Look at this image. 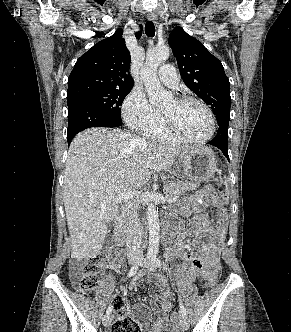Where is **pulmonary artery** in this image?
Wrapping results in <instances>:
<instances>
[{"label": "pulmonary artery", "instance_id": "obj_1", "mask_svg": "<svg viewBox=\"0 0 291 332\" xmlns=\"http://www.w3.org/2000/svg\"><path fill=\"white\" fill-rule=\"evenodd\" d=\"M158 77L163 84L171 88H177L179 76L173 65L166 64L161 66L158 71Z\"/></svg>", "mask_w": 291, "mask_h": 332}]
</instances>
